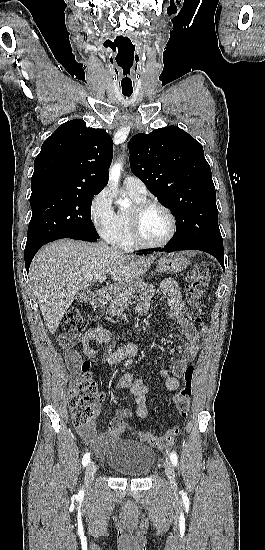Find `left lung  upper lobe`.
Listing matches in <instances>:
<instances>
[{
  "instance_id": "1",
  "label": "left lung upper lobe",
  "mask_w": 265,
  "mask_h": 550,
  "mask_svg": "<svg viewBox=\"0 0 265 550\" xmlns=\"http://www.w3.org/2000/svg\"><path fill=\"white\" fill-rule=\"evenodd\" d=\"M129 148L133 174L176 218L170 243L223 253L216 191L202 145L169 126L135 135Z\"/></svg>"
}]
</instances>
